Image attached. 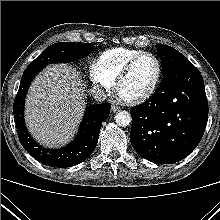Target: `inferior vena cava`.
<instances>
[{
  "label": "inferior vena cava",
  "instance_id": "inferior-vena-cava-1",
  "mask_svg": "<svg viewBox=\"0 0 220 220\" xmlns=\"http://www.w3.org/2000/svg\"><path fill=\"white\" fill-rule=\"evenodd\" d=\"M91 93H92V96L94 97V99L99 102H103L107 98L105 91L101 90L99 88H93L91 90Z\"/></svg>",
  "mask_w": 220,
  "mask_h": 220
}]
</instances>
